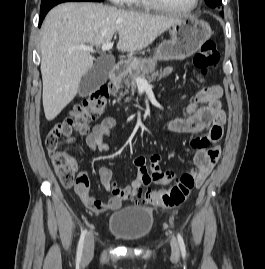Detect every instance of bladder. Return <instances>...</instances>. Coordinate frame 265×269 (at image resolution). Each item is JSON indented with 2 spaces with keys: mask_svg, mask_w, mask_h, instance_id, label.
<instances>
[{
  "mask_svg": "<svg viewBox=\"0 0 265 269\" xmlns=\"http://www.w3.org/2000/svg\"><path fill=\"white\" fill-rule=\"evenodd\" d=\"M154 227L150 208L129 205L113 213L108 220L111 235L126 243H138L147 238Z\"/></svg>",
  "mask_w": 265,
  "mask_h": 269,
  "instance_id": "bladder-1",
  "label": "bladder"
}]
</instances>
